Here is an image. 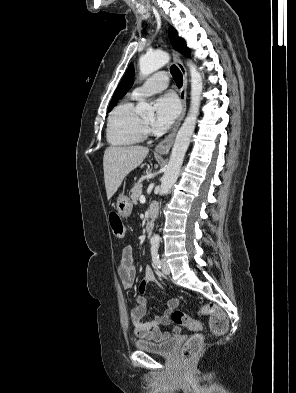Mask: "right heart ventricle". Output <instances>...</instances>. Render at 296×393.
<instances>
[{
  "mask_svg": "<svg viewBox=\"0 0 296 393\" xmlns=\"http://www.w3.org/2000/svg\"><path fill=\"white\" fill-rule=\"evenodd\" d=\"M106 138L109 144L117 147H129L143 141L144 131L133 98L120 102L111 111Z\"/></svg>",
  "mask_w": 296,
  "mask_h": 393,
  "instance_id": "right-heart-ventricle-1",
  "label": "right heart ventricle"
}]
</instances>
